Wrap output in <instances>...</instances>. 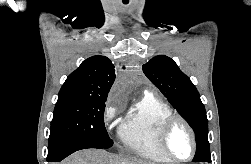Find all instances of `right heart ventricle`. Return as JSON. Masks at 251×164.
Here are the masks:
<instances>
[{"mask_svg": "<svg viewBox=\"0 0 251 164\" xmlns=\"http://www.w3.org/2000/svg\"><path fill=\"white\" fill-rule=\"evenodd\" d=\"M173 114L168 103L146 93L128 110L119 127L122 146L142 158L170 163L159 148L158 131L162 122Z\"/></svg>", "mask_w": 251, "mask_h": 164, "instance_id": "right-heart-ventricle-1", "label": "right heart ventricle"}]
</instances>
